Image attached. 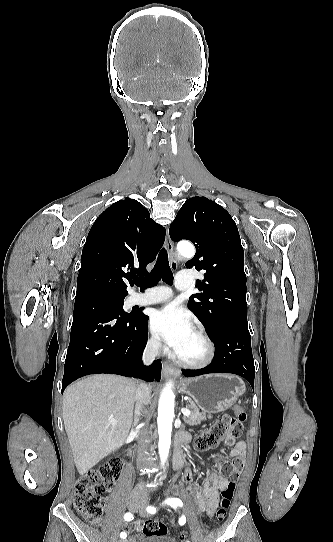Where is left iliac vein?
I'll list each match as a JSON object with an SVG mask.
<instances>
[{
	"label": "left iliac vein",
	"instance_id": "4c4485c4",
	"mask_svg": "<svg viewBox=\"0 0 333 542\" xmlns=\"http://www.w3.org/2000/svg\"><path fill=\"white\" fill-rule=\"evenodd\" d=\"M143 503L141 504V506L139 507L138 509V512L139 514L142 516V517H147L148 516V513L145 509V506L148 505V499L147 498H143Z\"/></svg>",
	"mask_w": 333,
	"mask_h": 542
}]
</instances>
